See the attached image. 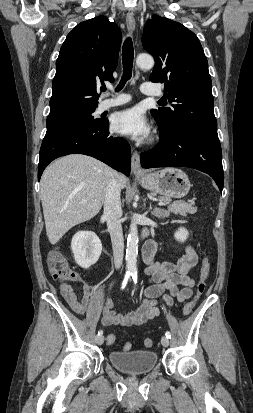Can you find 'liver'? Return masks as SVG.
<instances>
[{
	"mask_svg": "<svg viewBox=\"0 0 253 413\" xmlns=\"http://www.w3.org/2000/svg\"><path fill=\"white\" fill-rule=\"evenodd\" d=\"M113 177L117 178L121 188H125L123 174L82 154L61 157L44 170L40 198L47 236L52 245L69 229L99 213L106 188Z\"/></svg>",
	"mask_w": 253,
	"mask_h": 413,
	"instance_id": "1",
	"label": "liver"
}]
</instances>
